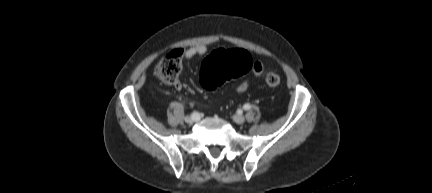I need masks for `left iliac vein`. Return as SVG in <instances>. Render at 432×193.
Segmentation results:
<instances>
[{
  "label": "left iliac vein",
  "mask_w": 432,
  "mask_h": 193,
  "mask_svg": "<svg viewBox=\"0 0 432 193\" xmlns=\"http://www.w3.org/2000/svg\"><path fill=\"white\" fill-rule=\"evenodd\" d=\"M233 119L237 124H243L245 122V117L241 114L235 115Z\"/></svg>",
  "instance_id": "4c4485c4"
}]
</instances>
